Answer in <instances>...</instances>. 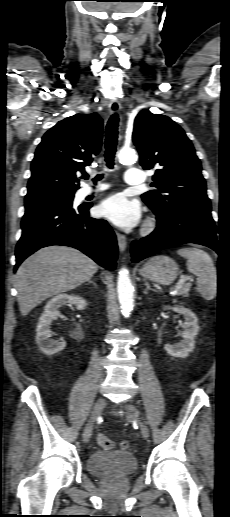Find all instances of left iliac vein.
Returning <instances> with one entry per match:
<instances>
[{
    "label": "left iliac vein",
    "mask_w": 230,
    "mask_h": 517,
    "mask_svg": "<svg viewBox=\"0 0 230 517\" xmlns=\"http://www.w3.org/2000/svg\"><path fill=\"white\" fill-rule=\"evenodd\" d=\"M124 409L126 411V418L129 421L137 420L140 423L141 435L144 439H147L149 436V428L145 422H143L139 417V412L137 408L131 404H125Z\"/></svg>",
    "instance_id": "4c4485c4"
}]
</instances>
